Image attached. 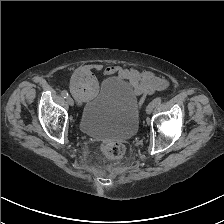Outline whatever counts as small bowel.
<instances>
[{"instance_id": "c3829d8e", "label": "small bowel", "mask_w": 224, "mask_h": 224, "mask_svg": "<svg viewBox=\"0 0 224 224\" xmlns=\"http://www.w3.org/2000/svg\"><path fill=\"white\" fill-rule=\"evenodd\" d=\"M84 68L95 72H103L105 75H116L120 79H126L136 96H143L163 90L168 85L165 79L149 71H138L134 68L125 69L116 65L103 67L99 63L88 64Z\"/></svg>"}]
</instances>
